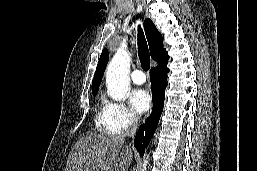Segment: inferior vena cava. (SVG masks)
<instances>
[{"label":"inferior vena cava","mask_w":257,"mask_h":171,"mask_svg":"<svg viewBox=\"0 0 257 171\" xmlns=\"http://www.w3.org/2000/svg\"><path fill=\"white\" fill-rule=\"evenodd\" d=\"M139 118L136 115H131L130 117V128L126 132V136H134L138 127ZM124 135V136H125Z\"/></svg>","instance_id":"obj_1"}]
</instances>
